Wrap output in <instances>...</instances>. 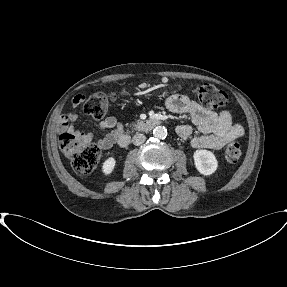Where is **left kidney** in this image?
<instances>
[{"label": "left kidney", "mask_w": 287, "mask_h": 287, "mask_svg": "<svg viewBox=\"0 0 287 287\" xmlns=\"http://www.w3.org/2000/svg\"><path fill=\"white\" fill-rule=\"evenodd\" d=\"M196 169L203 175H211L217 170L218 161L208 150H196L193 155Z\"/></svg>", "instance_id": "obj_1"}]
</instances>
